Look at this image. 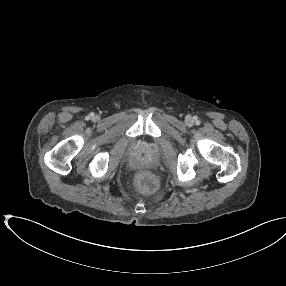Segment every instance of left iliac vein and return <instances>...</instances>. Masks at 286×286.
Returning <instances> with one entry per match:
<instances>
[{"label": "left iliac vein", "mask_w": 286, "mask_h": 286, "mask_svg": "<svg viewBox=\"0 0 286 286\" xmlns=\"http://www.w3.org/2000/svg\"><path fill=\"white\" fill-rule=\"evenodd\" d=\"M186 122H187L188 124H191V123H192L191 117L186 118Z\"/></svg>", "instance_id": "4c4485c4"}]
</instances>
